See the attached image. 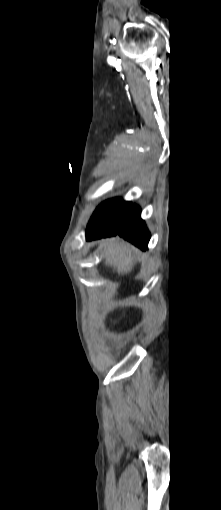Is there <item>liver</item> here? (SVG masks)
Returning a JSON list of instances; mask_svg holds the SVG:
<instances>
[{
	"label": "liver",
	"mask_w": 221,
	"mask_h": 510,
	"mask_svg": "<svg viewBox=\"0 0 221 510\" xmlns=\"http://www.w3.org/2000/svg\"><path fill=\"white\" fill-rule=\"evenodd\" d=\"M105 250V264L116 270L118 274L129 273L135 264L133 252L135 250L131 245L121 241L119 238H108L103 241Z\"/></svg>",
	"instance_id": "1"
}]
</instances>
